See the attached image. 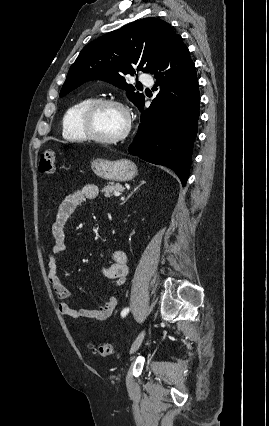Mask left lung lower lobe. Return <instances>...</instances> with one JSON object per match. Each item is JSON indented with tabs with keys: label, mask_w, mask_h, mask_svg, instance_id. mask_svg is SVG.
I'll return each mask as SVG.
<instances>
[{
	"label": "left lung lower lobe",
	"mask_w": 269,
	"mask_h": 426,
	"mask_svg": "<svg viewBox=\"0 0 269 426\" xmlns=\"http://www.w3.org/2000/svg\"><path fill=\"white\" fill-rule=\"evenodd\" d=\"M150 73L160 91L149 108L144 109V101L138 106L141 124L128 150L171 168L184 186L197 135L200 94L195 65L180 35Z\"/></svg>",
	"instance_id": "0a47b994"
}]
</instances>
